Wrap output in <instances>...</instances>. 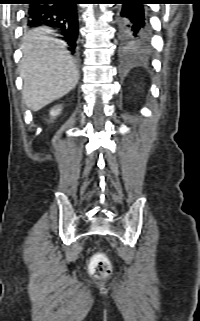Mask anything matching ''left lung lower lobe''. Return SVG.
<instances>
[{
	"instance_id": "left-lung-lower-lobe-1",
	"label": "left lung lower lobe",
	"mask_w": 200,
	"mask_h": 321,
	"mask_svg": "<svg viewBox=\"0 0 200 321\" xmlns=\"http://www.w3.org/2000/svg\"><path fill=\"white\" fill-rule=\"evenodd\" d=\"M152 0H119L118 36L122 50L129 54L146 53L150 48V31L143 4Z\"/></svg>"
}]
</instances>
